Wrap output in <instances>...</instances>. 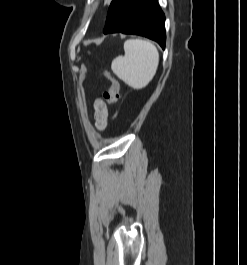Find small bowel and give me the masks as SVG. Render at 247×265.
I'll return each instance as SVG.
<instances>
[{
  "label": "small bowel",
  "instance_id": "1",
  "mask_svg": "<svg viewBox=\"0 0 247 265\" xmlns=\"http://www.w3.org/2000/svg\"><path fill=\"white\" fill-rule=\"evenodd\" d=\"M94 117L97 128L99 130L105 129L107 126L108 109L102 99H97L94 102Z\"/></svg>",
  "mask_w": 247,
  "mask_h": 265
}]
</instances>
